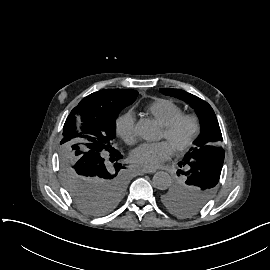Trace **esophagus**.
I'll return each mask as SVG.
<instances>
[{"instance_id":"obj_1","label":"esophagus","mask_w":270,"mask_h":270,"mask_svg":"<svg viewBox=\"0 0 270 270\" xmlns=\"http://www.w3.org/2000/svg\"><path fill=\"white\" fill-rule=\"evenodd\" d=\"M140 172L142 173H154L156 172V169L155 168H143L140 170Z\"/></svg>"}]
</instances>
